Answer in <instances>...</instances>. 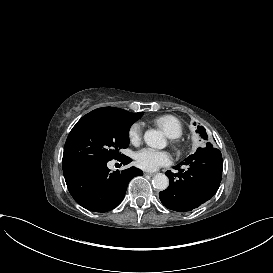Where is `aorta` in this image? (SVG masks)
<instances>
[{
	"label": "aorta",
	"mask_w": 273,
	"mask_h": 273,
	"mask_svg": "<svg viewBox=\"0 0 273 273\" xmlns=\"http://www.w3.org/2000/svg\"><path fill=\"white\" fill-rule=\"evenodd\" d=\"M145 143L152 148H164L166 146V140L161 131L155 129H149L144 134ZM153 187L159 191H163L168 188L169 179L163 173L156 174L152 179Z\"/></svg>",
	"instance_id": "1"
}]
</instances>
